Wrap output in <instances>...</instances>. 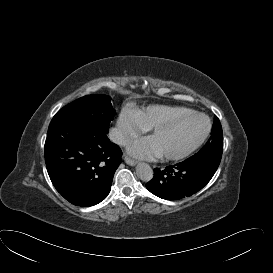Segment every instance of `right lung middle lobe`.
Here are the masks:
<instances>
[{"mask_svg": "<svg viewBox=\"0 0 273 273\" xmlns=\"http://www.w3.org/2000/svg\"><path fill=\"white\" fill-rule=\"evenodd\" d=\"M107 95H87L60 109L50 125L65 120L81 126L98 129L107 133L110 121L116 114Z\"/></svg>", "mask_w": 273, "mask_h": 273, "instance_id": "1", "label": "right lung middle lobe"}]
</instances>
